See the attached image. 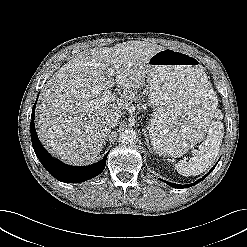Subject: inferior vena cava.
Returning a JSON list of instances; mask_svg holds the SVG:
<instances>
[{
    "label": "inferior vena cava",
    "instance_id": "602c4592",
    "mask_svg": "<svg viewBox=\"0 0 247 247\" xmlns=\"http://www.w3.org/2000/svg\"><path fill=\"white\" fill-rule=\"evenodd\" d=\"M120 118H121V114L117 112L106 115L105 118L106 126L109 128L115 127L119 123Z\"/></svg>",
    "mask_w": 247,
    "mask_h": 247
}]
</instances>
